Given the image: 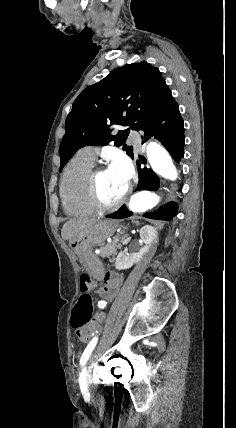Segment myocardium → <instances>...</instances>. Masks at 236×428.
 I'll list each match as a JSON object with an SVG mask.
<instances>
[{
	"label": "myocardium",
	"mask_w": 236,
	"mask_h": 428,
	"mask_svg": "<svg viewBox=\"0 0 236 428\" xmlns=\"http://www.w3.org/2000/svg\"><path fill=\"white\" fill-rule=\"evenodd\" d=\"M110 169V166L103 165L97 169H94L87 180V194L90 203L98 210H111L121 207L130 197L133 185L129 181L128 187L125 193L116 201L108 202L105 201L99 191V180L101 176Z\"/></svg>",
	"instance_id": "f54148a6"
}]
</instances>
